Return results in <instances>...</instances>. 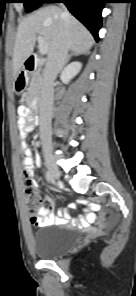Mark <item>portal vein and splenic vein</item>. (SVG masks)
I'll list each match as a JSON object with an SVG mask.
<instances>
[{
  "label": "portal vein and splenic vein",
  "instance_id": "18ae733b",
  "mask_svg": "<svg viewBox=\"0 0 136 296\" xmlns=\"http://www.w3.org/2000/svg\"><path fill=\"white\" fill-rule=\"evenodd\" d=\"M38 44H39V52L41 55H45L48 52V43L44 40L42 36L37 37Z\"/></svg>",
  "mask_w": 136,
  "mask_h": 296
}]
</instances>
